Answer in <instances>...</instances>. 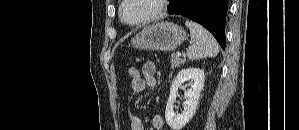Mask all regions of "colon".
Instances as JSON below:
<instances>
[{
	"mask_svg": "<svg viewBox=\"0 0 299 130\" xmlns=\"http://www.w3.org/2000/svg\"><path fill=\"white\" fill-rule=\"evenodd\" d=\"M128 76L131 83L137 82L141 78V74L138 68L132 66L128 69Z\"/></svg>",
	"mask_w": 299,
	"mask_h": 130,
	"instance_id": "5ec220e1",
	"label": "colon"
}]
</instances>
